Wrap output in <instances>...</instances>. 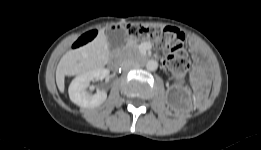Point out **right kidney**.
Listing matches in <instances>:
<instances>
[{
	"mask_svg": "<svg viewBox=\"0 0 261 150\" xmlns=\"http://www.w3.org/2000/svg\"><path fill=\"white\" fill-rule=\"evenodd\" d=\"M110 71L105 68H98L77 76L70 84L68 92L70 100L84 108H93L101 105L107 98L104 90L97 91L94 95L87 92L91 81L102 80L109 75Z\"/></svg>",
	"mask_w": 261,
	"mask_h": 150,
	"instance_id": "right-kidney-1",
	"label": "right kidney"
}]
</instances>
